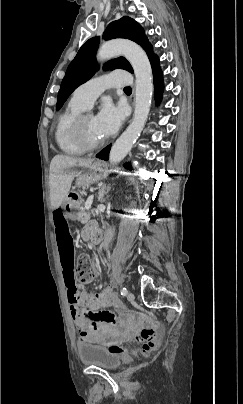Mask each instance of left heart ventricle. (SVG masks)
I'll list each match as a JSON object with an SVG mask.
<instances>
[{"label":"left heart ventricle","instance_id":"1","mask_svg":"<svg viewBox=\"0 0 243 404\" xmlns=\"http://www.w3.org/2000/svg\"><path fill=\"white\" fill-rule=\"evenodd\" d=\"M83 133L90 141L96 142L101 140L96 132L95 117L93 115H89L85 118L83 122Z\"/></svg>","mask_w":243,"mask_h":404}]
</instances>
